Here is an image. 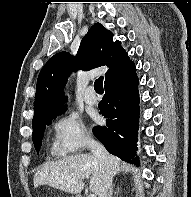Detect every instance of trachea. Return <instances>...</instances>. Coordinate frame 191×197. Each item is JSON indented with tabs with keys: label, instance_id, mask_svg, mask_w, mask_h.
Returning <instances> with one entry per match:
<instances>
[{
	"label": "trachea",
	"instance_id": "obj_1",
	"mask_svg": "<svg viewBox=\"0 0 191 197\" xmlns=\"http://www.w3.org/2000/svg\"><path fill=\"white\" fill-rule=\"evenodd\" d=\"M94 89L97 93H103V77H99L94 83Z\"/></svg>",
	"mask_w": 191,
	"mask_h": 197
}]
</instances>
